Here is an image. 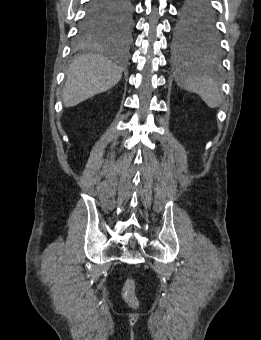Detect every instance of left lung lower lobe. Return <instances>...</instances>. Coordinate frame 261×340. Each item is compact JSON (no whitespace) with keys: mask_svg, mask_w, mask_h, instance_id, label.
<instances>
[{"mask_svg":"<svg viewBox=\"0 0 261 340\" xmlns=\"http://www.w3.org/2000/svg\"><path fill=\"white\" fill-rule=\"evenodd\" d=\"M186 2H187V0H186ZM205 2L208 3V4H210V0H205ZM210 5H211V4H210Z\"/></svg>","mask_w":261,"mask_h":340,"instance_id":"obj_1","label":"left lung lower lobe"}]
</instances>
